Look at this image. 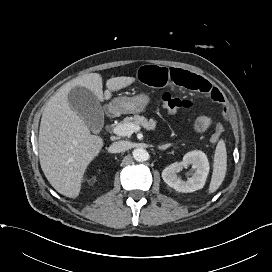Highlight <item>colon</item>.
I'll return each instance as SVG.
<instances>
[{
  "mask_svg": "<svg viewBox=\"0 0 272 272\" xmlns=\"http://www.w3.org/2000/svg\"><path fill=\"white\" fill-rule=\"evenodd\" d=\"M160 106L167 112L174 113L180 109H187L192 106V103L189 100L181 99L173 96L172 94L166 92L162 95ZM223 127L218 124L215 127L214 133L211 136L212 141H218L223 135Z\"/></svg>",
  "mask_w": 272,
  "mask_h": 272,
  "instance_id": "obj_1",
  "label": "colon"
}]
</instances>
